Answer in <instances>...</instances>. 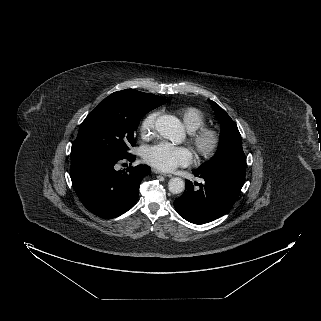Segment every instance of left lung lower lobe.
I'll return each instance as SVG.
<instances>
[{
	"label": "left lung lower lobe",
	"mask_w": 321,
	"mask_h": 321,
	"mask_svg": "<svg viewBox=\"0 0 321 321\" xmlns=\"http://www.w3.org/2000/svg\"><path fill=\"white\" fill-rule=\"evenodd\" d=\"M202 183L186 181L184 193L174 207L185 220L204 224L226 214L245 182L246 160H230L193 171Z\"/></svg>",
	"instance_id": "obj_1"
}]
</instances>
